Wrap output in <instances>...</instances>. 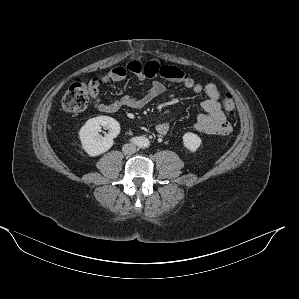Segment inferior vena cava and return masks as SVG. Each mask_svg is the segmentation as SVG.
I'll return each mask as SVG.
<instances>
[{
	"mask_svg": "<svg viewBox=\"0 0 299 299\" xmlns=\"http://www.w3.org/2000/svg\"><path fill=\"white\" fill-rule=\"evenodd\" d=\"M136 145L128 143L122 147V151L124 154H134L136 152Z\"/></svg>",
	"mask_w": 299,
	"mask_h": 299,
	"instance_id": "obj_1",
	"label": "inferior vena cava"
}]
</instances>
